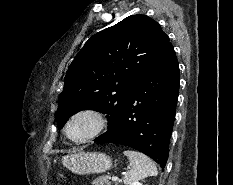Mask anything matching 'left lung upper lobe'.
<instances>
[{
    "instance_id": "left-lung-upper-lobe-1",
    "label": "left lung upper lobe",
    "mask_w": 233,
    "mask_h": 185,
    "mask_svg": "<svg viewBox=\"0 0 233 185\" xmlns=\"http://www.w3.org/2000/svg\"><path fill=\"white\" fill-rule=\"evenodd\" d=\"M169 43L160 25L132 15L93 35L71 63L58 100L56 121L63 127L73 114L96 110L112 127L136 83Z\"/></svg>"
}]
</instances>
